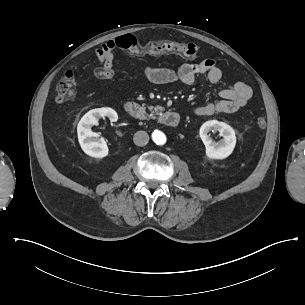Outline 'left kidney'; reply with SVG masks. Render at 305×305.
Wrapping results in <instances>:
<instances>
[{
	"mask_svg": "<svg viewBox=\"0 0 305 305\" xmlns=\"http://www.w3.org/2000/svg\"><path fill=\"white\" fill-rule=\"evenodd\" d=\"M213 129L218 131L223 137L219 142H215L208 136V132ZM200 138L206 147V155L211 159H224L228 157L236 144V137L233 128L224 122L210 120L205 122L200 128Z\"/></svg>",
	"mask_w": 305,
	"mask_h": 305,
	"instance_id": "5707ae66",
	"label": "left kidney"
}]
</instances>
